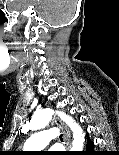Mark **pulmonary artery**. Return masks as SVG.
Listing matches in <instances>:
<instances>
[{"label": "pulmonary artery", "instance_id": "e3ab8cb5", "mask_svg": "<svg viewBox=\"0 0 119 155\" xmlns=\"http://www.w3.org/2000/svg\"><path fill=\"white\" fill-rule=\"evenodd\" d=\"M58 136V131L54 128L42 130L34 133L24 143V148L30 151H38L45 148L49 142Z\"/></svg>", "mask_w": 119, "mask_h": 155}]
</instances>
